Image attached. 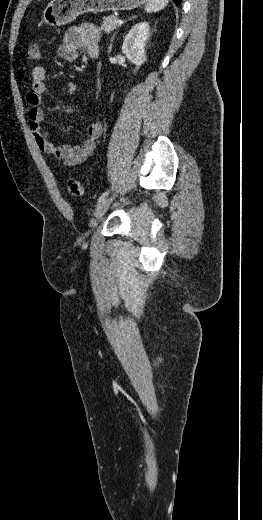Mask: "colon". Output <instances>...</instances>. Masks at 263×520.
Returning <instances> with one entry per match:
<instances>
[{
	"label": "colon",
	"mask_w": 263,
	"mask_h": 520,
	"mask_svg": "<svg viewBox=\"0 0 263 520\" xmlns=\"http://www.w3.org/2000/svg\"><path fill=\"white\" fill-rule=\"evenodd\" d=\"M26 57L28 60L36 61L40 59V47L36 42L29 44ZM67 191L72 196H79L82 194V185L76 178L70 177L66 181Z\"/></svg>",
	"instance_id": "1"
}]
</instances>
